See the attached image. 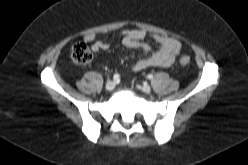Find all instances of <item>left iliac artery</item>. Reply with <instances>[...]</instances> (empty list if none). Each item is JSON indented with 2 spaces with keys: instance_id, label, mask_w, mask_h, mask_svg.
Instances as JSON below:
<instances>
[{
  "instance_id": "44dca946",
  "label": "left iliac artery",
  "mask_w": 248,
  "mask_h": 165,
  "mask_svg": "<svg viewBox=\"0 0 248 165\" xmlns=\"http://www.w3.org/2000/svg\"><path fill=\"white\" fill-rule=\"evenodd\" d=\"M147 78H148V79H153V75H152V74H148V75H147Z\"/></svg>"
}]
</instances>
